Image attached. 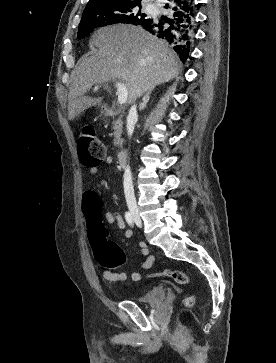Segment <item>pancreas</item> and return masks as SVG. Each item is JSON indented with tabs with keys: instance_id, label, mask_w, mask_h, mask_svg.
<instances>
[{
	"instance_id": "cf45deb5",
	"label": "pancreas",
	"mask_w": 276,
	"mask_h": 363,
	"mask_svg": "<svg viewBox=\"0 0 276 363\" xmlns=\"http://www.w3.org/2000/svg\"><path fill=\"white\" fill-rule=\"evenodd\" d=\"M123 122L120 118L113 121L114 129V144L116 147H121L123 144L122 133H123Z\"/></svg>"
}]
</instances>
